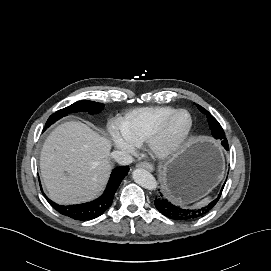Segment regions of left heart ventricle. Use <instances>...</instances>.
<instances>
[{
  "mask_svg": "<svg viewBox=\"0 0 271 271\" xmlns=\"http://www.w3.org/2000/svg\"><path fill=\"white\" fill-rule=\"evenodd\" d=\"M188 125H189L188 115L185 113L178 115L170 128L169 137L171 139L180 137L185 133V131L188 128Z\"/></svg>",
  "mask_w": 271,
  "mask_h": 271,
  "instance_id": "1",
  "label": "left heart ventricle"
}]
</instances>
